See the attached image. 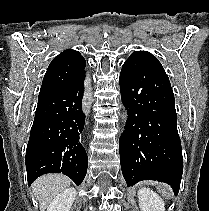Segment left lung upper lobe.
I'll use <instances>...</instances> for the list:
<instances>
[{"mask_svg":"<svg viewBox=\"0 0 209 211\" xmlns=\"http://www.w3.org/2000/svg\"><path fill=\"white\" fill-rule=\"evenodd\" d=\"M133 54H138L144 57L145 59L149 60L152 64H154L156 67L160 68L162 71H164L162 65L158 61L156 57H154L151 53L147 51H136ZM165 72V71H164Z\"/></svg>","mask_w":209,"mask_h":211,"instance_id":"obj_1","label":"left lung upper lobe"}]
</instances>
